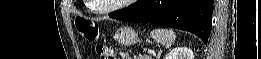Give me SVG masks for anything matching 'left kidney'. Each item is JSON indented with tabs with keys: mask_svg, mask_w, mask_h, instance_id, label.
Wrapping results in <instances>:
<instances>
[{
	"mask_svg": "<svg viewBox=\"0 0 261 59\" xmlns=\"http://www.w3.org/2000/svg\"><path fill=\"white\" fill-rule=\"evenodd\" d=\"M164 59H194V55L190 48L178 47L172 49Z\"/></svg>",
	"mask_w": 261,
	"mask_h": 59,
	"instance_id": "5707ae66",
	"label": "left kidney"
}]
</instances>
